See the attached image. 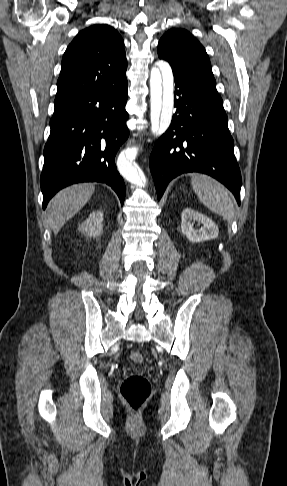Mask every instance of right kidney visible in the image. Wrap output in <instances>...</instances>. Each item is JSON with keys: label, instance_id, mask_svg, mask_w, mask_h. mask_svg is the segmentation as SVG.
<instances>
[{"label": "right kidney", "instance_id": "right-kidney-1", "mask_svg": "<svg viewBox=\"0 0 287 486\" xmlns=\"http://www.w3.org/2000/svg\"><path fill=\"white\" fill-rule=\"evenodd\" d=\"M103 212L93 211L88 219L79 224L78 231L88 237H97L102 232Z\"/></svg>", "mask_w": 287, "mask_h": 486}]
</instances>
